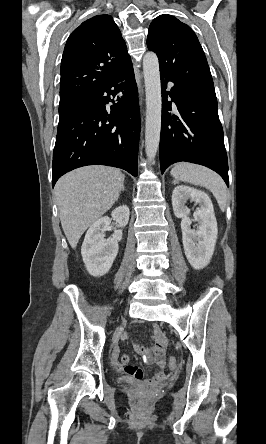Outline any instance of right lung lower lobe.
Masks as SVG:
<instances>
[{
  "instance_id": "obj_1",
  "label": "right lung lower lobe",
  "mask_w": 266,
  "mask_h": 444,
  "mask_svg": "<svg viewBox=\"0 0 266 444\" xmlns=\"http://www.w3.org/2000/svg\"><path fill=\"white\" fill-rule=\"evenodd\" d=\"M109 101L113 105L108 114L105 104ZM139 135L138 91L129 62L85 101L59 117L52 186L63 174L95 164L122 168L136 177Z\"/></svg>"
}]
</instances>
